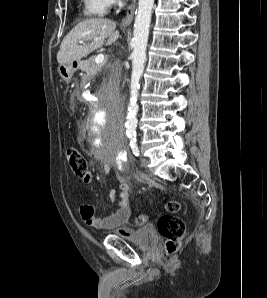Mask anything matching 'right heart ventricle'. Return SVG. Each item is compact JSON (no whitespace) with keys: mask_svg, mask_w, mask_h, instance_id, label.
I'll use <instances>...</instances> for the list:
<instances>
[{"mask_svg":"<svg viewBox=\"0 0 267 298\" xmlns=\"http://www.w3.org/2000/svg\"><path fill=\"white\" fill-rule=\"evenodd\" d=\"M104 0H82V12L89 18H100L105 14Z\"/></svg>","mask_w":267,"mask_h":298,"instance_id":"right-heart-ventricle-1","label":"right heart ventricle"}]
</instances>
